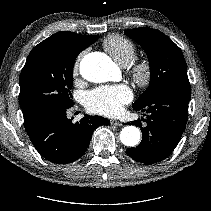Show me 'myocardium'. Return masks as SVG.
<instances>
[{"label":"myocardium","instance_id":"1","mask_svg":"<svg viewBox=\"0 0 211 211\" xmlns=\"http://www.w3.org/2000/svg\"><path fill=\"white\" fill-rule=\"evenodd\" d=\"M130 71L133 79L140 86H147L152 79L153 67L151 62L146 59H135L130 63Z\"/></svg>","mask_w":211,"mask_h":211}]
</instances>
